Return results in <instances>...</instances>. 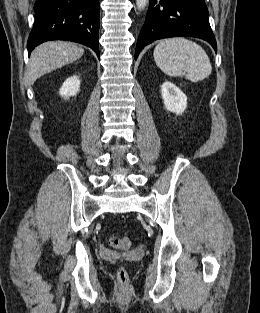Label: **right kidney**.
I'll return each mask as SVG.
<instances>
[{
    "instance_id": "obj_1",
    "label": "right kidney",
    "mask_w": 260,
    "mask_h": 313,
    "mask_svg": "<svg viewBox=\"0 0 260 313\" xmlns=\"http://www.w3.org/2000/svg\"><path fill=\"white\" fill-rule=\"evenodd\" d=\"M80 88V80L78 76H71L63 83L62 87L60 88V95L65 99L69 98L70 96H75Z\"/></svg>"
}]
</instances>
